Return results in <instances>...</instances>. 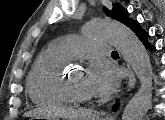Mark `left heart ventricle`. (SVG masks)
Segmentation results:
<instances>
[{
  "label": "left heart ventricle",
  "instance_id": "obj_1",
  "mask_svg": "<svg viewBox=\"0 0 165 120\" xmlns=\"http://www.w3.org/2000/svg\"><path fill=\"white\" fill-rule=\"evenodd\" d=\"M69 81L72 87L80 94L93 97L87 81V74L83 70H74L69 75Z\"/></svg>",
  "mask_w": 165,
  "mask_h": 120
}]
</instances>
